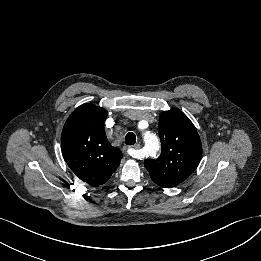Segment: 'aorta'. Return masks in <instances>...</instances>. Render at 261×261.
Here are the masks:
<instances>
[{"label": "aorta", "mask_w": 261, "mask_h": 261, "mask_svg": "<svg viewBox=\"0 0 261 261\" xmlns=\"http://www.w3.org/2000/svg\"><path fill=\"white\" fill-rule=\"evenodd\" d=\"M144 140H145V144H146L147 147L157 149L158 146H159L158 140H157V138L155 137L154 134H151V133L146 134L145 137H144Z\"/></svg>", "instance_id": "aorta-1"}]
</instances>
